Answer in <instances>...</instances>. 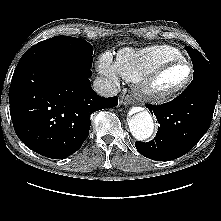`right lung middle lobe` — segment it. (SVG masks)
<instances>
[{"mask_svg": "<svg viewBox=\"0 0 221 221\" xmlns=\"http://www.w3.org/2000/svg\"><path fill=\"white\" fill-rule=\"evenodd\" d=\"M32 47L43 49L77 65L91 68L93 46L84 39L69 36H55Z\"/></svg>", "mask_w": 221, "mask_h": 221, "instance_id": "1", "label": "right lung middle lobe"}]
</instances>
